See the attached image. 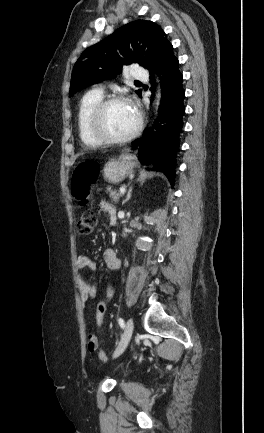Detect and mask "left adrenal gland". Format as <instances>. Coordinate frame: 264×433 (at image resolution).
Here are the masks:
<instances>
[{"mask_svg": "<svg viewBox=\"0 0 264 433\" xmlns=\"http://www.w3.org/2000/svg\"><path fill=\"white\" fill-rule=\"evenodd\" d=\"M131 196H132V187L129 188L127 196H126L125 200L122 202V205H124L128 200H130Z\"/></svg>", "mask_w": 264, "mask_h": 433, "instance_id": "left-adrenal-gland-1", "label": "left adrenal gland"}]
</instances>
